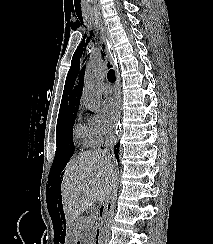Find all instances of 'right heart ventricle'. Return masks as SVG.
I'll use <instances>...</instances> for the list:
<instances>
[{
  "label": "right heart ventricle",
  "mask_w": 213,
  "mask_h": 244,
  "mask_svg": "<svg viewBox=\"0 0 213 244\" xmlns=\"http://www.w3.org/2000/svg\"><path fill=\"white\" fill-rule=\"evenodd\" d=\"M74 136L80 144H82L84 146H90L91 145L87 130H86L84 125L77 124L75 126Z\"/></svg>",
  "instance_id": "obj_1"
}]
</instances>
